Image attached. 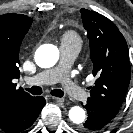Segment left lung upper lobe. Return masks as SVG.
Instances as JSON below:
<instances>
[{
	"instance_id": "5c2ea615",
	"label": "left lung upper lobe",
	"mask_w": 133,
	"mask_h": 133,
	"mask_svg": "<svg viewBox=\"0 0 133 133\" xmlns=\"http://www.w3.org/2000/svg\"><path fill=\"white\" fill-rule=\"evenodd\" d=\"M87 30L93 75L97 77L88 101L119 110L130 82L127 43L116 25L97 12L81 9Z\"/></svg>"
}]
</instances>
